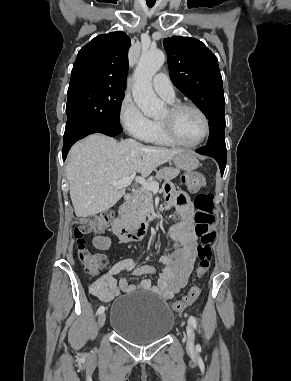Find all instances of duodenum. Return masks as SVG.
Listing matches in <instances>:
<instances>
[{
	"instance_id": "duodenum-1",
	"label": "duodenum",
	"mask_w": 291,
	"mask_h": 381,
	"mask_svg": "<svg viewBox=\"0 0 291 381\" xmlns=\"http://www.w3.org/2000/svg\"><path fill=\"white\" fill-rule=\"evenodd\" d=\"M132 198V192H127L124 196L126 203L130 202ZM152 219L153 211L148 210L140 223L131 225L125 221L124 210H121L119 214L113 219L112 230L123 243L139 241L145 236Z\"/></svg>"
}]
</instances>
